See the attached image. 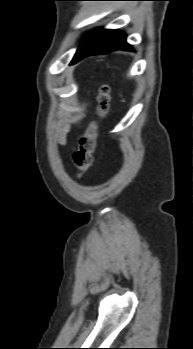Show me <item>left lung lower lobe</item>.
I'll use <instances>...</instances> for the list:
<instances>
[{"label": "left lung lower lobe", "instance_id": "1", "mask_svg": "<svg viewBox=\"0 0 193 349\" xmlns=\"http://www.w3.org/2000/svg\"><path fill=\"white\" fill-rule=\"evenodd\" d=\"M114 50L131 51L133 48L126 42V35L118 30L94 29L79 46L70 64H75L89 55Z\"/></svg>", "mask_w": 193, "mask_h": 349}]
</instances>
